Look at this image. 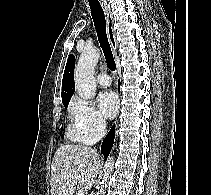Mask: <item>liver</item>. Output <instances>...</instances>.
Segmentation results:
<instances>
[{
    "label": "liver",
    "instance_id": "6515ba94",
    "mask_svg": "<svg viewBox=\"0 0 211 195\" xmlns=\"http://www.w3.org/2000/svg\"><path fill=\"white\" fill-rule=\"evenodd\" d=\"M101 161L99 154L90 147L67 144L60 146L51 165V195H74L77 181L83 190L94 184ZM80 176V180H77Z\"/></svg>",
    "mask_w": 211,
    "mask_h": 195
}]
</instances>
